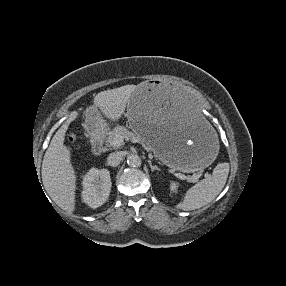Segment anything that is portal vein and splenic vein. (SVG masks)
Returning <instances> with one entry per match:
<instances>
[{
	"label": "portal vein and splenic vein",
	"mask_w": 286,
	"mask_h": 286,
	"mask_svg": "<svg viewBox=\"0 0 286 286\" xmlns=\"http://www.w3.org/2000/svg\"><path fill=\"white\" fill-rule=\"evenodd\" d=\"M123 140H124V137L121 136V135H116L113 139V145L116 146V147H119L121 146V144L123 143ZM177 177H179L181 180H188V181H191V180H196V178H191V177H187L186 175L182 174V173H175ZM206 177H208V174H205Z\"/></svg>",
	"instance_id": "1"
}]
</instances>
